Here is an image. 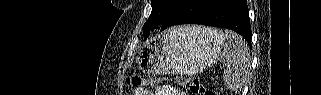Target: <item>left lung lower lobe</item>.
I'll list each match as a JSON object with an SVG mask.
<instances>
[{
    "label": "left lung lower lobe",
    "instance_id": "0a47b994",
    "mask_svg": "<svg viewBox=\"0 0 321 95\" xmlns=\"http://www.w3.org/2000/svg\"><path fill=\"white\" fill-rule=\"evenodd\" d=\"M179 24H202L234 30L251 46L247 0H178L161 31Z\"/></svg>",
    "mask_w": 321,
    "mask_h": 95
}]
</instances>
